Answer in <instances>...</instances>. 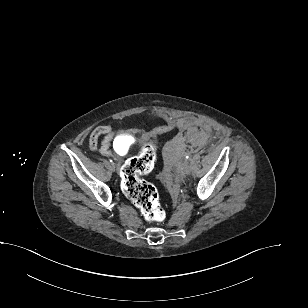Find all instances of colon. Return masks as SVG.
<instances>
[{
	"instance_id": "obj_1",
	"label": "colon",
	"mask_w": 308,
	"mask_h": 308,
	"mask_svg": "<svg viewBox=\"0 0 308 308\" xmlns=\"http://www.w3.org/2000/svg\"><path fill=\"white\" fill-rule=\"evenodd\" d=\"M169 129H171L169 126L156 127L152 130V136ZM155 160L156 148L154 141L151 140L143 145L138 156L125 162L120 172L123 193L149 223H160L165 219V212L160 205L156 188L142 178L153 169Z\"/></svg>"
}]
</instances>
